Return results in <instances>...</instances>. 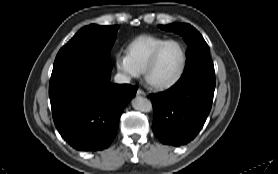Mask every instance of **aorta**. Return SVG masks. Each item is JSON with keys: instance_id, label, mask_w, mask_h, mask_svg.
Here are the masks:
<instances>
[{"instance_id": "obj_1", "label": "aorta", "mask_w": 278, "mask_h": 174, "mask_svg": "<svg viewBox=\"0 0 278 174\" xmlns=\"http://www.w3.org/2000/svg\"><path fill=\"white\" fill-rule=\"evenodd\" d=\"M132 107L139 112H149L152 109V104L147 98L136 96L132 99Z\"/></svg>"}]
</instances>
